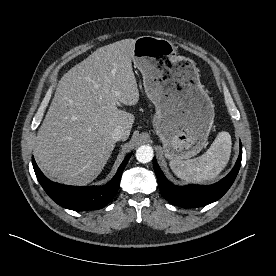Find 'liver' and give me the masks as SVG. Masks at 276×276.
<instances>
[{"label": "liver", "instance_id": "6515ba94", "mask_svg": "<svg viewBox=\"0 0 276 276\" xmlns=\"http://www.w3.org/2000/svg\"><path fill=\"white\" fill-rule=\"evenodd\" d=\"M135 39L103 46L60 79L40 126L35 159L50 178L68 185H87L102 171L121 126L130 135L134 115L117 108L136 105L139 90L132 69Z\"/></svg>", "mask_w": 276, "mask_h": 276}]
</instances>
